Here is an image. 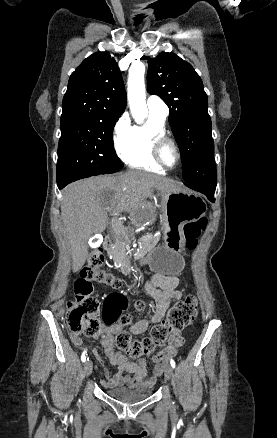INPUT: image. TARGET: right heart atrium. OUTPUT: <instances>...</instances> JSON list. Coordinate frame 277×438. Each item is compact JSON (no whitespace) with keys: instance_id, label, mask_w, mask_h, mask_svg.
I'll use <instances>...</instances> for the list:
<instances>
[{"instance_id":"1","label":"right heart atrium","mask_w":277,"mask_h":438,"mask_svg":"<svg viewBox=\"0 0 277 438\" xmlns=\"http://www.w3.org/2000/svg\"><path fill=\"white\" fill-rule=\"evenodd\" d=\"M129 132V124L126 122L124 118L118 120L114 127V138L115 143L119 147L122 142L125 140Z\"/></svg>"}]
</instances>
